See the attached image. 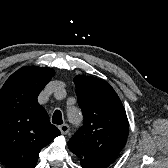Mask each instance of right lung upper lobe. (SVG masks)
I'll use <instances>...</instances> for the list:
<instances>
[{
	"mask_svg": "<svg viewBox=\"0 0 168 168\" xmlns=\"http://www.w3.org/2000/svg\"><path fill=\"white\" fill-rule=\"evenodd\" d=\"M54 70L27 66L0 90V162L9 168H35L40 150L61 133L37 97Z\"/></svg>",
	"mask_w": 168,
	"mask_h": 168,
	"instance_id": "cb5924a9",
	"label": "right lung upper lobe"
}]
</instances>
